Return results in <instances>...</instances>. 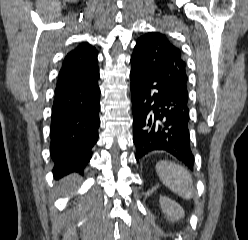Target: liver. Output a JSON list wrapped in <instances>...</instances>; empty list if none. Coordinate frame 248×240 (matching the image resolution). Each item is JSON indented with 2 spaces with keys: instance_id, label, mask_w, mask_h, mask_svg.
Wrapping results in <instances>:
<instances>
[{
  "instance_id": "6515ba94",
  "label": "liver",
  "mask_w": 248,
  "mask_h": 240,
  "mask_svg": "<svg viewBox=\"0 0 248 240\" xmlns=\"http://www.w3.org/2000/svg\"><path fill=\"white\" fill-rule=\"evenodd\" d=\"M76 175H70L68 177H66L63 181V184H68L69 182H71L73 179H75Z\"/></svg>"
}]
</instances>
